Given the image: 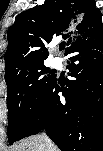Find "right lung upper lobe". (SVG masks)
Wrapping results in <instances>:
<instances>
[{
	"instance_id": "1",
	"label": "right lung upper lobe",
	"mask_w": 103,
	"mask_h": 151,
	"mask_svg": "<svg viewBox=\"0 0 103 151\" xmlns=\"http://www.w3.org/2000/svg\"><path fill=\"white\" fill-rule=\"evenodd\" d=\"M94 4L91 0H45L17 15L7 32L6 83L23 69L43 63L48 57L45 45L52 38L62 35L72 44L102 25L93 15Z\"/></svg>"
}]
</instances>
